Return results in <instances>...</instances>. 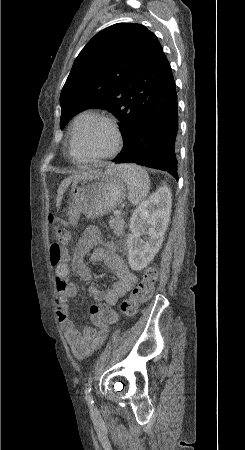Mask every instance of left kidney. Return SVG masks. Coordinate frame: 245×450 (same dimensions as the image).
Listing matches in <instances>:
<instances>
[{
	"label": "left kidney",
	"instance_id": "5707ae66",
	"mask_svg": "<svg viewBox=\"0 0 245 450\" xmlns=\"http://www.w3.org/2000/svg\"><path fill=\"white\" fill-rule=\"evenodd\" d=\"M171 192L160 187L133 212L127 237L128 263L132 270L144 269L161 248L171 213ZM142 235H148L142 240Z\"/></svg>",
	"mask_w": 245,
	"mask_h": 450
}]
</instances>
